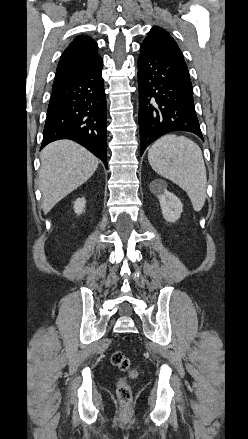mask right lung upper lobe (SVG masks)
Wrapping results in <instances>:
<instances>
[{"label":"right lung upper lobe","mask_w":248,"mask_h":439,"mask_svg":"<svg viewBox=\"0 0 248 439\" xmlns=\"http://www.w3.org/2000/svg\"><path fill=\"white\" fill-rule=\"evenodd\" d=\"M97 43L89 36H78L62 53L57 66L54 85L76 77L102 62L97 54Z\"/></svg>","instance_id":"cb5924a9"}]
</instances>
